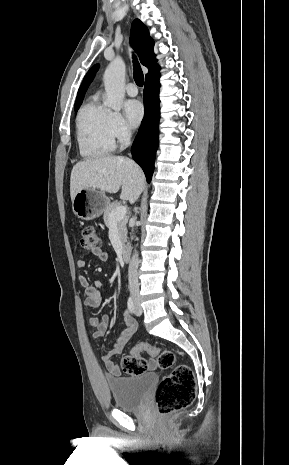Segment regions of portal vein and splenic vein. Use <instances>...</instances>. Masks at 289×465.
<instances>
[{
    "label": "portal vein and splenic vein",
    "instance_id": "18ae733b",
    "mask_svg": "<svg viewBox=\"0 0 289 465\" xmlns=\"http://www.w3.org/2000/svg\"><path fill=\"white\" fill-rule=\"evenodd\" d=\"M127 213V208L125 206H120L111 213L110 219L111 222H117L122 220Z\"/></svg>",
    "mask_w": 289,
    "mask_h": 465
}]
</instances>
